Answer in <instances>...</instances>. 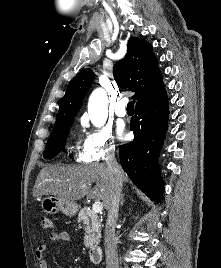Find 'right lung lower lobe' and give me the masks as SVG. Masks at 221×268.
<instances>
[{
  "instance_id": "1",
  "label": "right lung lower lobe",
  "mask_w": 221,
  "mask_h": 268,
  "mask_svg": "<svg viewBox=\"0 0 221 268\" xmlns=\"http://www.w3.org/2000/svg\"><path fill=\"white\" fill-rule=\"evenodd\" d=\"M130 125L134 140L120 146L123 169L152 201L159 203L164 193L158 156L167 132L168 99L164 90L151 100L136 105Z\"/></svg>"
}]
</instances>
